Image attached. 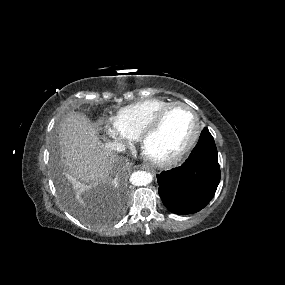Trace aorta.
I'll return each mask as SVG.
<instances>
[{
	"label": "aorta",
	"instance_id": "1",
	"mask_svg": "<svg viewBox=\"0 0 285 285\" xmlns=\"http://www.w3.org/2000/svg\"><path fill=\"white\" fill-rule=\"evenodd\" d=\"M153 179V175L146 171H136L131 177L130 181L135 186H143L149 184Z\"/></svg>",
	"mask_w": 285,
	"mask_h": 285
}]
</instances>
